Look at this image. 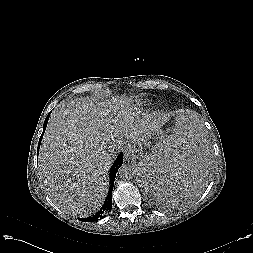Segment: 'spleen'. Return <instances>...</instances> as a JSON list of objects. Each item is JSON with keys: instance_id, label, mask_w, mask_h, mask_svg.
<instances>
[{"instance_id": "3e777b00", "label": "spleen", "mask_w": 253, "mask_h": 253, "mask_svg": "<svg viewBox=\"0 0 253 253\" xmlns=\"http://www.w3.org/2000/svg\"><path fill=\"white\" fill-rule=\"evenodd\" d=\"M208 126L193 111L177 114L169 135L151 160L140 170L143 190L158 199L178 202L191 197L201 186L210 160Z\"/></svg>"}]
</instances>
